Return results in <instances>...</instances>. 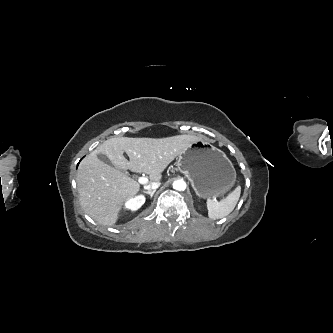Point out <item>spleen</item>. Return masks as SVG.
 Masks as SVG:
<instances>
[{
	"mask_svg": "<svg viewBox=\"0 0 333 333\" xmlns=\"http://www.w3.org/2000/svg\"><path fill=\"white\" fill-rule=\"evenodd\" d=\"M241 193V187L237 186L226 198L220 202L214 199L207 200L208 216L210 219H220L229 215L235 208Z\"/></svg>",
	"mask_w": 333,
	"mask_h": 333,
	"instance_id": "1",
	"label": "spleen"
}]
</instances>
